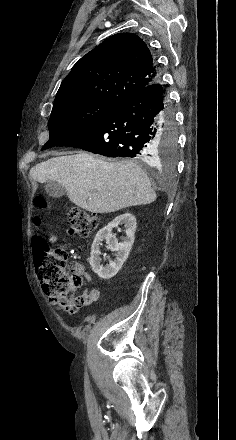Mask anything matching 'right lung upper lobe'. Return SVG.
<instances>
[{
  "instance_id": "1",
  "label": "right lung upper lobe",
  "mask_w": 236,
  "mask_h": 440,
  "mask_svg": "<svg viewBox=\"0 0 236 440\" xmlns=\"http://www.w3.org/2000/svg\"><path fill=\"white\" fill-rule=\"evenodd\" d=\"M158 81L144 41L118 33L84 55L62 81L54 103L93 100L120 105Z\"/></svg>"
}]
</instances>
